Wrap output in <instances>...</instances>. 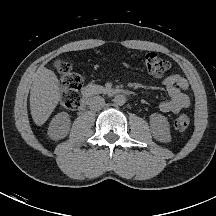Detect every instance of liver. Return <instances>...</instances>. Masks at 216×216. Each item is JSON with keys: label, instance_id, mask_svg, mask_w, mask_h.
<instances>
[{"label": "liver", "instance_id": "1", "mask_svg": "<svg viewBox=\"0 0 216 216\" xmlns=\"http://www.w3.org/2000/svg\"><path fill=\"white\" fill-rule=\"evenodd\" d=\"M61 99L59 80L56 74L40 66L33 77L30 91V110L36 125H43Z\"/></svg>", "mask_w": 216, "mask_h": 216}]
</instances>
